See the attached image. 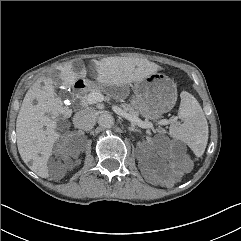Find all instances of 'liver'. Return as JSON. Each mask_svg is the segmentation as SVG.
Instances as JSON below:
<instances>
[{
    "label": "liver",
    "instance_id": "liver-1",
    "mask_svg": "<svg viewBox=\"0 0 241 241\" xmlns=\"http://www.w3.org/2000/svg\"><path fill=\"white\" fill-rule=\"evenodd\" d=\"M72 61L60 68V78L65 87L72 86L78 79L86 76V71L76 74ZM96 80L105 85L124 86L142 81L157 72L156 64L147 60L107 57L94 61ZM54 81L47 79L42 86L35 82L27 91L16 121L17 146L25 164L40 177L47 178V161L52 146L59 137L56 132L57 121L54 116L63 110L61 98L56 96ZM36 100V105L33 101ZM52 114L54 116H49Z\"/></svg>",
    "mask_w": 241,
    "mask_h": 241
}]
</instances>
